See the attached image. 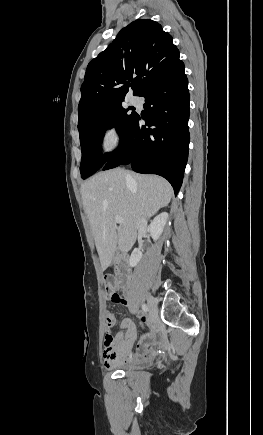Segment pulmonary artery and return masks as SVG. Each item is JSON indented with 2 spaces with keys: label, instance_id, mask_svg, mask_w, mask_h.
I'll use <instances>...</instances> for the list:
<instances>
[{
  "label": "pulmonary artery",
  "instance_id": "obj_1",
  "mask_svg": "<svg viewBox=\"0 0 263 435\" xmlns=\"http://www.w3.org/2000/svg\"><path fill=\"white\" fill-rule=\"evenodd\" d=\"M131 102L133 104H137L138 103V98H136V97L131 98Z\"/></svg>",
  "mask_w": 263,
  "mask_h": 435
}]
</instances>
